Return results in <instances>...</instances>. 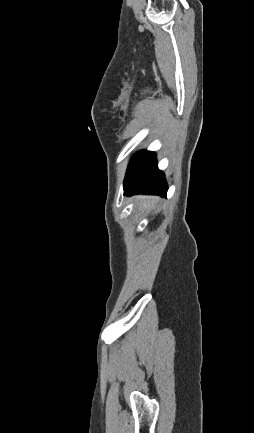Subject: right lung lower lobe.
I'll list each match as a JSON object with an SVG mask.
<instances>
[{
  "label": "right lung lower lobe",
  "instance_id": "right-lung-lower-lobe-1",
  "mask_svg": "<svg viewBox=\"0 0 254 433\" xmlns=\"http://www.w3.org/2000/svg\"><path fill=\"white\" fill-rule=\"evenodd\" d=\"M167 184L164 174L157 168L153 152L140 151L130 161L125 179L124 194H155L166 196Z\"/></svg>",
  "mask_w": 254,
  "mask_h": 433
}]
</instances>
